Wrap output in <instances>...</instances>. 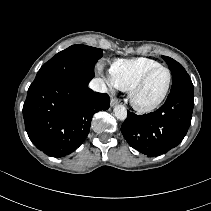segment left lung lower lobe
<instances>
[{
    "mask_svg": "<svg viewBox=\"0 0 211 211\" xmlns=\"http://www.w3.org/2000/svg\"><path fill=\"white\" fill-rule=\"evenodd\" d=\"M194 92H171L157 111L136 115L128 111L121 132L130 146L148 156L179 145L191 124Z\"/></svg>",
    "mask_w": 211,
    "mask_h": 211,
    "instance_id": "left-lung-lower-lobe-1",
    "label": "left lung lower lobe"
}]
</instances>
